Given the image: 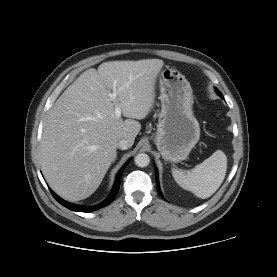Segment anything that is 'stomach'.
Instances as JSON below:
<instances>
[{
    "instance_id": "stomach-1",
    "label": "stomach",
    "mask_w": 277,
    "mask_h": 277,
    "mask_svg": "<svg viewBox=\"0 0 277 277\" xmlns=\"http://www.w3.org/2000/svg\"><path fill=\"white\" fill-rule=\"evenodd\" d=\"M159 87L162 105L154 142L165 160L179 162L200 138L192 110V88L184 75L169 67L160 73Z\"/></svg>"
}]
</instances>
